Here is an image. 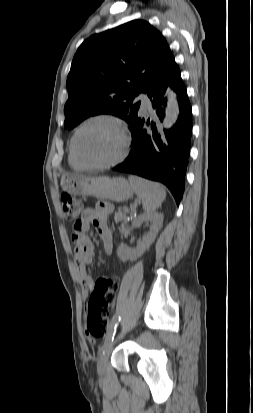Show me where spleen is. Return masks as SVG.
Instances as JSON below:
<instances>
[{"label": "spleen", "mask_w": 253, "mask_h": 413, "mask_svg": "<svg viewBox=\"0 0 253 413\" xmlns=\"http://www.w3.org/2000/svg\"><path fill=\"white\" fill-rule=\"evenodd\" d=\"M129 181L134 192L142 200L143 209L148 213L159 208L166 198V191L159 183L134 175L129 176Z\"/></svg>", "instance_id": "obj_1"}]
</instances>
